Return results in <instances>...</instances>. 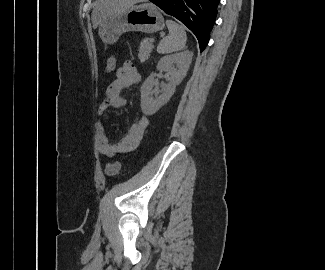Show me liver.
I'll return each instance as SVG.
<instances>
[{
	"instance_id": "1",
	"label": "liver",
	"mask_w": 325,
	"mask_h": 270,
	"mask_svg": "<svg viewBox=\"0 0 325 270\" xmlns=\"http://www.w3.org/2000/svg\"><path fill=\"white\" fill-rule=\"evenodd\" d=\"M134 4L133 0H98L92 11V24L96 29L109 15Z\"/></svg>"
}]
</instances>
